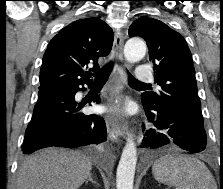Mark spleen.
<instances>
[{
    "instance_id": "spleen-1",
    "label": "spleen",
    "mask_w": 223,
    "mask_h": 189,
    "mask_svg": "<svg viewBox=\"0 0 223 189\" xmlns=\"http://www.w3.org/2000/svg\"><path fill=\"white\" fill-rule=\"evenodd\" d=\"M152 173L158 182L175 189H217L205 164L190 156L165 155L154 163Z\"/></svg>"
}]
</instances>
